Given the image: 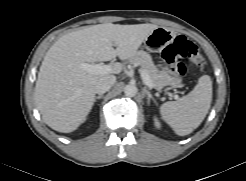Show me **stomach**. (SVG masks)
I'll return each instance as SVG.
<instances>
[{"label": "stomach", "instance_id": "1", "mask_svg": "<svg viewBox=\"0 0 246 181\" xmlns=\"http://www.w3.org/2000/svg\"><path fill=\"white\" fill-rule=\"evenodd\" d=\"M175 35L174 33L165 27L156 28L145 40V47L151 52H157L170 44Z\"/></svg>", "mask_w": 246, "mask_h": 181}]
</instances>
